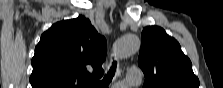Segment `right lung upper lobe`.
Instances as JSON below:
<instances>
[{
    "mask_svg": "<svg viewBox=\"0 0 223 88\" xmlns=\"http://www.w3.org/2000/svg\"><path fill=\"white\" fill-rule=\"evenodd\" d=\"M107 45L84 16L57 22L41 36L32 58V88H87L102 77Z\"/></svg>",
    "mask_w": 223,
    "mask_h": 88,
    "instance_id": "obj_1",
    "label": "right lung upper lobe"
}]
</instances>
